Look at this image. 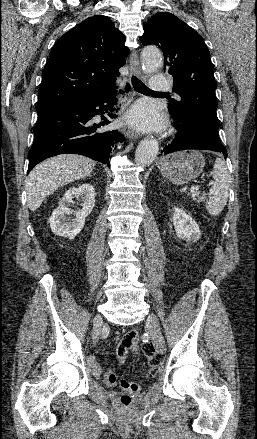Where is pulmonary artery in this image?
Wrapping results in <instances>:
<instances>
[{"mask_svg":"<svg viewBox=\"0 0 257 439\" xmlns=\"http://www.w3.org/2000/svg\"><path fill=\"white\" fill-rule=\"evenodd\" d=\"M150 88L155 93H167L170 90L168 78L163 74H155L151 78Z\"/></svg>","mask_w":257,"mask_h":439,"instance_id":"obj_1","label":"pulmonary artery"}]
</instances>
